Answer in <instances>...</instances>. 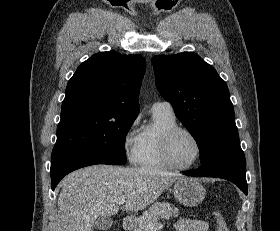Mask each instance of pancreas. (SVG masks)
I'll return each mask as SVG.
<instances>
[{
    "label": "pancreas",
    "mask_w": 280,
    "mask_h": 231,
    "mask_svg": "<svg viewBox=\"0 0 280 231\" xmlns=\"http://www.w3.org/2000/svg\"><path fill=\"white\" fill-rule=\"evenodd\" d=\"M179 209L174 207L172 203L167 201H155L153 205H150L147 211H144L140 217L132 219V227L134 231H149V223H157L158 219L164 217V219H170V217H178Z\"/></svg>",
    "instance_id": "pancreas-1"
}]
</instances>
